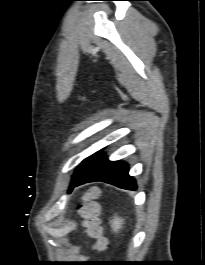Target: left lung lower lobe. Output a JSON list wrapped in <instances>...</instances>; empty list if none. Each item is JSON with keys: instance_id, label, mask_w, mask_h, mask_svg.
I'll return each instance as SVG.
<instances>
[{"instance_id": "obj_1", "label": "left lung lower lobe", "mask_w": 205, "mask_h": 265, "mask_svg": "<svg viewBox=\"0 0 205 265\" xmlns=\"http://www.w3.org/2000/svg\"><path fill=\"white\" fill-rule=\"evenodd\" d=\"M128 165L120 161H109L104 155L98 156L71 184L73 187L84 183L103 181L126 190H136L133 177L128 174Z\"/></svg>"}]
</instances>
